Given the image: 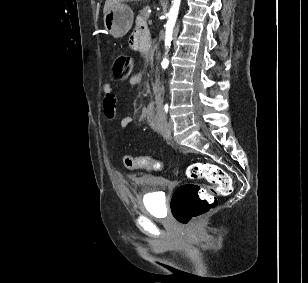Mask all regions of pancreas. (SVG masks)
<instances>
[{
  "label": "pancreas",
  "mask_w": 308,
  "mask_h": 283,
  "mask_svg": "<svg viewBox=\"0 0 308 283\" xmlns=\"http://www.w3.org/2000/svg\"><path fill=\"white\" fill-rule=\"evenodd\" d=\"M149 7L148 6H146L145 8H143L141 11H140V15L145 19V20H147L148 18H149V16H150V14H149Z\"/></svg>",
  "instance_id": "obj_1"
}]
</instances>
